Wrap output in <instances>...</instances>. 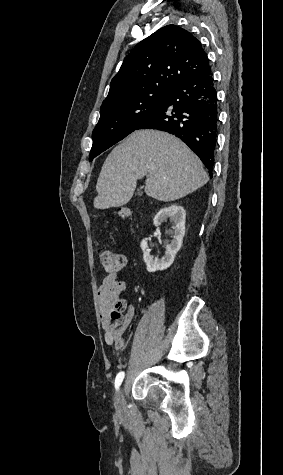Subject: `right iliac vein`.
I'll return each instance as SVG.
<instances>
[{"label": "right iliac vein", "mask_w": 283, "mask_h": 475, "mask_svg": "<svg viewBox=\"0 0 283 475\" xmlns=\"http://www.w3.org/2000/svg\"><path fill=\"white\" fill-rule=\"evenodd\" d=\"M115 404H116L118 415L122 416L123 413H124V407H125L122 390L118 391V393L116 395V398H115Z\"/></svg>", "instance_id": "obj_1"}]
</instances>
